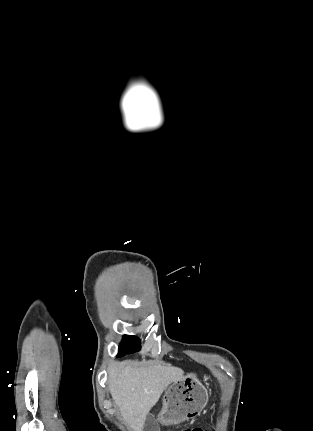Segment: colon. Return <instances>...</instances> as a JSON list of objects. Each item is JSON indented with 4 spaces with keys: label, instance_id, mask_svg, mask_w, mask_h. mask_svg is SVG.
<instances>
[{
    "label": "colon",
    "instance_id": "1",
    "mask_svg": "<svg viewBox=\"0 0 313 431\" xmlns=\"http://www.w3.org/2000/svg\"><path fill=\"white\" fill-rule=\"evenodd\" d=\"M183 431H206L200 427H195V428H190V429H185Z\"/></svg>",
    "mask_w": 313,
    "mask_h": 431
}]
</instances>
